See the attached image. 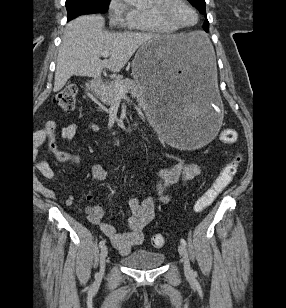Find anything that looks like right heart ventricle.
<instances>
[{
	"mask_svg": "<svg viewBox=\"0 0 286 308\" xmlns=\"http://www.w3.org/2000/svg\"><path fill=\"white\" fill-rule=\"evenodd\" d=\"M160 0H152L153 4ZM129 29L142 33H161L168 34L177 32L179 29L158 19L151 9H132L131 22Z\"/></svg>",
	"mask_w": 286,
	"mask_h": 308,
	"instance_id": "obj_1",
	"label": "right heart ventricle"
}]
</instances>
